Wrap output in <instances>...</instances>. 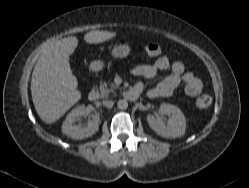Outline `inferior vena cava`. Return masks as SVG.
Masks as SVG:
<instances>
[{
	"mask_svg": "<svg viewBox=\"0 0 249 188\" xmlns=\"http://www.w3.org/2000/svg\"><path fill=\"white\" fill-rule=\"evenodd\" d=\"M103 105H104L105 107H107V108H112L113 105H114V102L111 101V100H105V101H103Z\"/></svg>",
	"mask_w": 249,
	"mask_h": 188,
	"instance_id": "1",
	"label": "inferior vena cava"
}]
</instances>
